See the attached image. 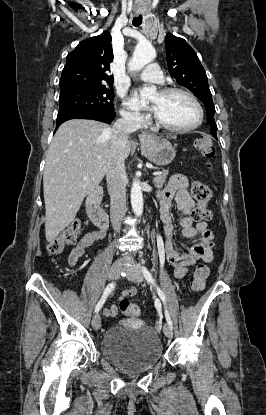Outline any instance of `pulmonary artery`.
Masks as SVG:
<instances>
[{
	"mask_svg": "<svg viewBox=\"0 0 266 415\" xmlns=\"http://www.w3.org/2000/svg\"><path fill=\"white\" fill-rule=\"evenodd\" d=\"M139 78L151 82L161 84L163 83V75L157 64H149L140 74Z\"/></svg>",
	"mask_w": 266,
	"mask_h": 415,
	"instance_id": "obj_1",
	"label": "pulmonary artery"
}]
</instances>
